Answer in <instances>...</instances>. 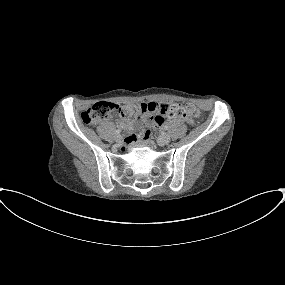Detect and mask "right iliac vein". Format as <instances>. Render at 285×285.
<instances>
[{
  "label": "right iliac vein",
  "instance_id": "1",
  "mask_svg": "<svg viewBox=\"0 0 285 285\" xmlns=\"http://www.w3.org/2000/svg\"><path fill=\"white\" fill-rule=\"evenodd\" d=\"M115 140H116L117 142H121V141L123 140V137L118 134V135H116Z\"/></svg>",
  "mask_w": 285,
  "mask_h": 285
}]
</instances>
